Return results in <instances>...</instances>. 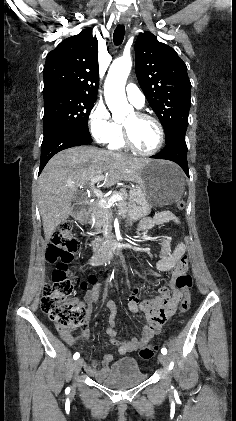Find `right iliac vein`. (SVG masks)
Returning <instances> with one entry per match:
<instances>
[{
	"label": "right iliac vein",
	"instance_id": "right-iliac-vein-1",
	"mask_svg": "<svg viewBox=\"0 0 236 421\" xmlns=\"http://www.w3.org/2000/svg\"><path fill=\"white\" fill-rule=\"evenodd\" d=\"M82 364H83L82 359H78L74 362L73 369H74L76 374L79 373V371L81 370Z\"/></svg>",
	"mask_w": 236,
	"mask_h": 421
}]
</instances>
